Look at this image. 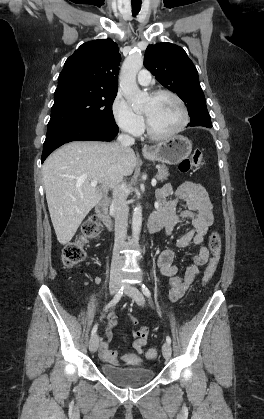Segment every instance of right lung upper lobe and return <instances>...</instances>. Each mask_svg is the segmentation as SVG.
Returning <instances> with one entry per match:
<instances>
[{"mask_svg":"<svg viewBox=\"0 0 264 419\" xmlns=\"http://www.w3.org/2000/svg\"><path fill=\"white\" fill-rule=\"evenodd\" d=\"M120 60L118 46L111 39L86 42L66 60L58 87L79 84L92 90L117 92Z\"/></svg>","mask_w":264,"mask_h":419,"instance_id":"cb5924a9","label":"right lung upper lobe"}]
</instances>
